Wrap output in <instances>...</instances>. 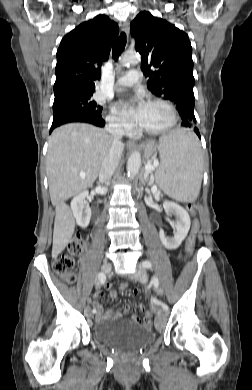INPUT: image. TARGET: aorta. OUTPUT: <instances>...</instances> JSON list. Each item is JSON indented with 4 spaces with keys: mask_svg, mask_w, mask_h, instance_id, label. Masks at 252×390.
Segmentation results:
<instances>
[{
    "mask_svg": "<svg viewBox=\"0 0 252 390\" xmlns=\"http://www.w3.org/2000/svg\"><path fill=\"white\" fill-rule=\"evenodd\" d=\"M139 62V56L136 54H125L122 58L123 64H135ZM141 166V156L139 152L130 155L127 162V173L130 179H134Z\"/></svg>",
    "mask_w": 252,
    "mask_h": 390,
    "instance_id": "1",
    "label": "aorta"
}]
</instances>
